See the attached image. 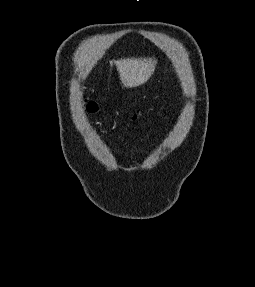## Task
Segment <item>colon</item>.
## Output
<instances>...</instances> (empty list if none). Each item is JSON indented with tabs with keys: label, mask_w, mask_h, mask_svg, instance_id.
<instances>
[{
	"label": "colon",
	"mask_w": 255,
	"mask_h": 287,
	"mask_svg": "<svg viewBox=\"0 0 255 287\" xmlns=\"http://www.w3.org/2000/svg\"><path fill=\"white\" fill-rule=\"evenodd\" d=\"M86 108L89 112H95L97 110V105L93 101H88L86 103Z\"/></svg>",
	"instance_id": "1"
}]
</instances>
